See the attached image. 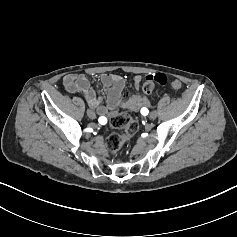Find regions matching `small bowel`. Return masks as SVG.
Masks as SVG:
<instances>
[{"label": "small bowel", "mask_w": 237, "mask_h": 237, "mask_svg": "<svg viewBox=\"0 0 237 237\" xmlns=\"http://www.w3.org/2000/svg\"><path fill=\"white\" fill-rule=\"evenodd\" d=\"M148 78H152V76H148ZM140 81V76L134 78L136 87L139 86ZM100 82L108 89L106 97L101 96L98 93L97 88L92 85L84 75L67 74L63 78V85L68 92L73 94H83L87 97L89 106L92 108L95 115H108L114 112L119 106H124L137 111L142 106L149 104L148 99L139 94L132 97L122 96L124 80L118 75L104 73L100 76ZM171 85L173 88L177 89L180 87V82L174 80Z\"/></svg>", "instance_id": "1"}]
</instances>
